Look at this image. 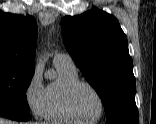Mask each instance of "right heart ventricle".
Listing matches in <instances>:
<instances>
[{
	"instance_id": "e07e8e85",
	"label": "right heart ventricle",
	"mask_w": 156,
	"mask_h": 124,
	"mask_svg": "<svg viewBox=\"0 0 156 124\" xmlns=\"http://www.w3.org/2000/svg\"><path fill=\"white\" fill-rule=\"evenodd\" d=\"M55 67L58 78L46 87L47 106L45 118L56 124H80L69 113L65 101L67 87L80 80L78 71L76 67L65 65H55Z\"/></svg>"
}]
</instances>
